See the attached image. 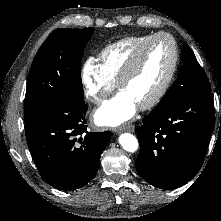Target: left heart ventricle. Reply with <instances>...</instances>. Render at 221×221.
I'll list each match as a JSON object with an SVG mask.
<instances>
[{
    "label": "left heart ventricle",
    "mask_w": 221,
    "mask_h": 221,
    "mask_svg": "<svg viewBox=\"0 0 221 221\" xmlns=\"http://www.w3.org/2000/svg\"><path fill=\"white\" fill-rule=\"evenodd\" d=\"M173 58L172 43L162 37L152 42L145 50L142 63L136 74L121 88L137 106L148 101L166 78Z\"/></svg>",
    "instance_id": "b2bd125f"
}]
</instances>
